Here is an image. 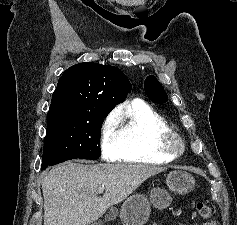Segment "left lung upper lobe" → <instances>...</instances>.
<instances>
[{"instance_id":"1","label":"left lung upper lobe","mask_w":237,"mask_h":225,"mask_svg":"<svg viewBox=\"0 0 237 225\" xmlns=\"http://www.w3.org/2000/svg\"><path fill=\"white\" fill-rule=\"evenodd\" d=\"M147 96L156 103H165L168 100L161 84L153 76L147 77L144 83Z\"/></svg>"}]
</instances>
